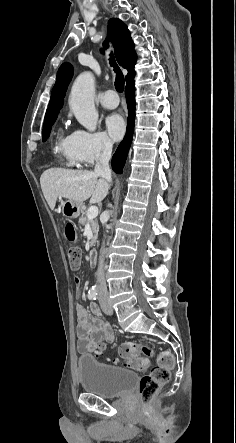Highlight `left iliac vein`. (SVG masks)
I'll return each mask as SVG.
<instances>
[{
    "instance_id": "left-iliac-vein-1",
    "label": "left iliac vein",
    "mask_w": 236,
    "mask_h": 443,
    "mask_svg": "<svg viewBox=\"0 0 236 443\" xmlns=\"http://www.w3.org/2000/svg\"><path fill=\"white\" fill-rule=\"evenodd\" d=\"M102 310L106 315H112L114 312L111 305H102Z\"/></svg>"
}]
</instances>
